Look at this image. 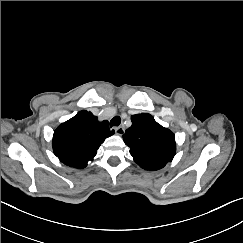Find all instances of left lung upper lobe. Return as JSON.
Wrapping results in <instances>:
<instances>
[{
    "instance_id": "left-lung-upper-lobe-1",
    "label": "left lung upper lobe",
    "mask_w": 243,
    "mask_h": 243,
    "mask_svg": "<svg viewBox=\"0 0 243 243\" xmlns=\"http://www.w3.org/2000/svg\"><path fill=\"white\" fill-rule=\"evenodd\" d=\"M132 126L123 135L134 161L144 169L158 170L172 161L176 152L174 134L148 113L131 116Z\"/></svg>"
}]
</instances>
